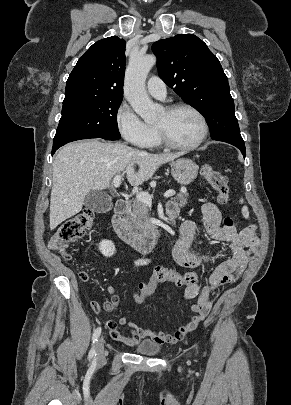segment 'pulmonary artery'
Segmentation results:
<instances>
[{
  "mask_svg": "<svg viewBox=\"0 0 291 405\" xmlns=\"http://www.w3.org/2000/svg\"><path fill=\"white\" fill-rule=\"evenodd\" d=\"M148 92L159 99L166 97V85L158 76H151L147 81Z\"/></svg>",
  "mask_w": 291,
  "mask_h": 405,
  "instance_id": "pulmonary-artery-1",
  "label": "pulmonary artery"
}]
</instances>
